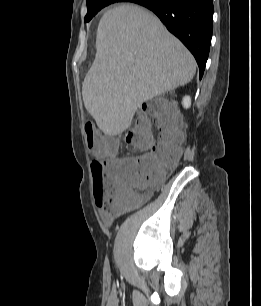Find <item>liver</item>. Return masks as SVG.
I'll list each match as a JSON object with an SVG mask.
<instances>
[{
  "mask_svg": "<svg viewBox=\"0 0 261 306\" xmlns=\"http://www.w3.org/2000/svg\"><path fill=\"white\" fill-rule=\"evenodd\" d=\"M195 72L191 53L155 15L123 4L100 19L84 106L102 132L118 135L143 102L189 83Z\"/></svg>",
  "mask_w": 261,
  "mask_h": 306,
  "instance_id": "1",
  "label": "liver"
}]
</instances>
